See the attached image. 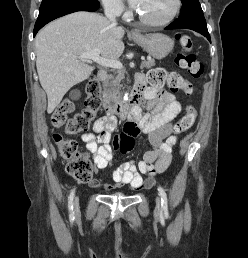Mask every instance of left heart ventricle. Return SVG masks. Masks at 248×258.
<instances>
[{
    "mask_svg": "<svg viewBox=\"0 0 248 258\" xmlns=\"http://www.w3.org/2000/svg\"><path fill=\"white\" fill-rule=\"evenodd\" d=\"M175 8V0H141L139 13L152 21L166 19Z\"/></svg>",
    "mask_w": 248,
    "mask_h": 258,
    "instance_id": "b2bd125f",
    "label": "left heart ventricle"
}]
</instances>
